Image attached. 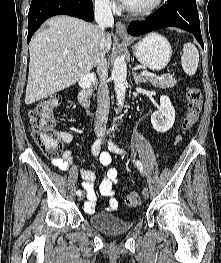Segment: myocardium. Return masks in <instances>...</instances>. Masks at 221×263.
<instances>
[{
	"instance_id": "1",
	"label": "myocardium",
	"mask_w": 221,
	"mask_h": 263,
	"mask_svg": "<svg viewBox=\"0 0 221 263\" xmlns=\"http://www.w3.org/2000/svg\"><path fill=\"white\" fill-rule=\"evenodd\" d=\"M163 0H155L152 4L143 7V8H133L130 7L129 5L125 4V9L127 12H129L132 15L136 16H145L153 13L156 11L162 4Z\"/></svg>"
}]
</instances>
